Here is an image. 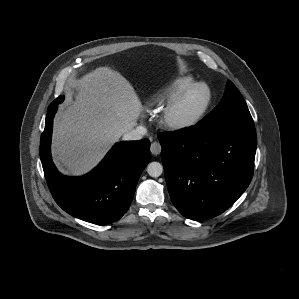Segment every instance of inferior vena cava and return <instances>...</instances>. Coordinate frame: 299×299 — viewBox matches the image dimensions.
Here are the masks:
<instances>
[{
    "instance_id": "1",
    "label": "inferior vena cava",
    "mask_w": 299,
    "mask_h": 299,
    "mask_svg": "<svg viewBox=\"0 0 299 299\" xmlns=\"http://www.w3.org/2000/svg\"><path fill=\"white\" fill-rule=\"evenodd\" d=\"M147 133L144 126H137L123 135V140H140Z\"/></svg>"
}]
</instances>
